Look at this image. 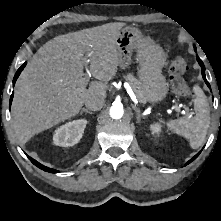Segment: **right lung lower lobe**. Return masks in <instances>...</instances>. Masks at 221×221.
I'll use <instances>...</instances> for the list:
<instances>
[{
	"label": "right lung lower lobe",
	"mask_w": 221,
	"mask_h": 221,
	"mask_svg": "<svg viewBox=\"0 0 221 221\" xmlns=\"http://www.w3.org/2000/svg\"><path fill=\"white\" fill-rule=\"evenodd\" d=\"M25 65H26V62H25V63L18 69V71L16 72V74H15V76H14V79H13V85L15 84V82H16L18 76L20 75L21 71L24 69ZM12 99H13V93H12V95H11V97H10V106H11ZM28 158L30 159V161H31L34 165H36L38 168H40V169H42V170H44V171H46V172H51V173L58 172V171H56V170H54V169L48 168V167H46V166L40 164L39 162H37L36 160H34L33 158H31V157H29V156H28Z\"/></svg>",
	"instance_id": "98d812e1"
}]
</instances>
